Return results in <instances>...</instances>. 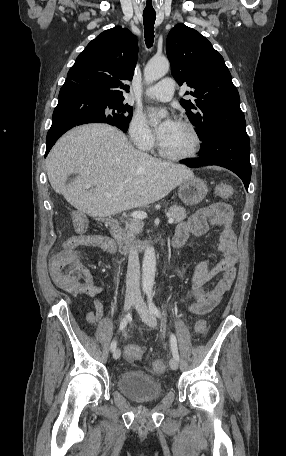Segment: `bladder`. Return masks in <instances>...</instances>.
Wrapping results in <instances>:
<instances>
[{
    "instance_id": "bladder-1",
    "label": "bladder",
    "mask_w": 286,
    "mask_h": 456,
    "mask_svg": "<svg viewBox=\"0 0 286 456\" xmlns=\"http://www.w3.org/2000/svg\"><path fill=\"white\" fill-rule=\"evenodd\" d=\"M118 384L125 397L139 403L155 401L163 394V387L156 378L139 371L122 373Z\"/></svg>"
}]
</instances>
